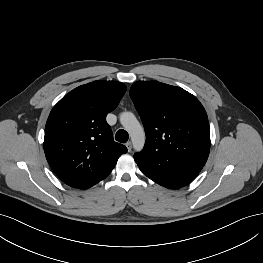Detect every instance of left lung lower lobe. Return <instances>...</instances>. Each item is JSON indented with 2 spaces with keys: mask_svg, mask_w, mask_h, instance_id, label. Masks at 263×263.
<instances>
[{
  "mask_svg": "<svg viewBox=\"0 0 263 263\" xmlns=\"http://www.w3.org/2000/svg\"><path fill=\"white\" fill-rule=\"evenodd\" d=\"M134 159L147 177L170 189L188 185L200 172L174 161L151 162L138 156Z\"/></svg>",
  "mask_w": 263,
  "mask_h": 263,
  "instance_id": "left-lung-lower-lobe-1",
  "label": "left lung lower lobe"
}]
</instances>
